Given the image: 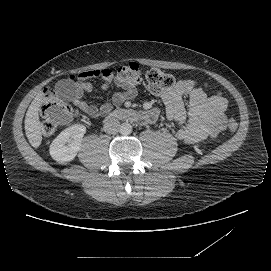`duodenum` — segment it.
Segmentation results:
<instances>
[{"label": "duodenum", "mask_w": 271, "mask_h": 271, "mask_svg": "<svg viewBox=\"0 0 271 271\" xmlns=\"http://www.w3.org/2000/svg\"><path fill=\"white\" fill-rule=\"evenodd\" d=\"M144 116L134 110L120 109L110 113L104 120V125L106 128H110L111 125L117 120L126 121H142Z\"/></svg>", "instance_id": "duodenum-1"}]
</instances>
